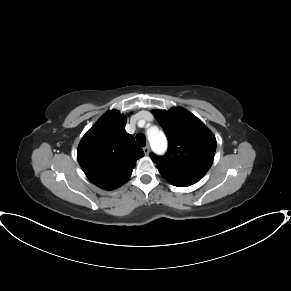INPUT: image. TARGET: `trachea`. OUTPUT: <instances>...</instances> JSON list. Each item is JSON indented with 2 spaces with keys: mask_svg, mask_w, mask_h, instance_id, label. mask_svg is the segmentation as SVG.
<instances>
[{
  "mask_svg": "<svg viewBox=\"0 0 291 291\" xmlns=\"http://www.w3.org/2000/svg\"><path fill=\"white\" fill-rule=\"evenodd\" d=\"M136 140L141 147H144L146 145V138L144 134L138 133L136 135Z\"/></svg>",
  "mask_w": 291,
  "mask_h": 291,
  "instance_id": "1",
  "label": "trachea"
}]
</instances>
